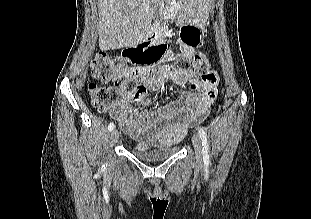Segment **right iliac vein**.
<instances>
[{
    "label": "right iliac vein",
    "instance_id": "obj_1",
    "mask_svg": "<svg viewBox=\"0 0 311 219\" xmlns=\"http://www.w3.org/2000/svg\"><path fill=\"white\" fill-rule=\"evenodd\" d=\"M118 140H119V132L118 130L114 129L111 132V142L114 144L117 143Z\"/></svg>",
    "mask_w": 311,
    "mask_h": 219
}]
</instances>
